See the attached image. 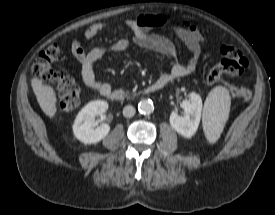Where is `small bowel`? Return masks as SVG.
<instances>
[{"label": "small bowel", "instance_id": "1", "mask_svg": "<svg viewBox=\"0 0 275 215\" xmlns=\"http://www.w3.org/2000/svg\"><path fill=\"white\" fill-rule=\"evenodd\" d=\"M163 15L142 14L134 20H128L126 26L133 32V41L141 48L153 50L170 61V73L160 78L168 79V83L175 79L193 73L201 56V46L205 38L196 25L190 21L180 20L170 26L171 32L181 39L191 51V57L186 64L177 61L176 46L168 39L151 33V30L166 25ZM110 27L106 23H95L84 32L85 39H92L101 31ZM131 43L128 39L121 38L110 44L101 45L86 51L79 39L72 43V54L81 64V76L84 84L90 89L105 95L111 90L108 83L100 81L95 73V63L107 54L126 51Z\"/></svg>", "mask_w": 275, "mask_h": 215}]
</instances>
